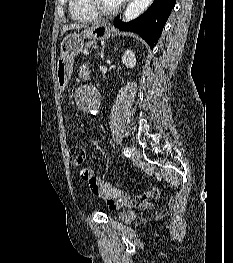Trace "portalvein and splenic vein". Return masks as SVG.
<instances>
[{"label": "portal vein and splenic vein", "mask_w": 233, "mask_h": 263, "mask_svg": "<svg viewBox=\"0 0 233 263\" xmlns=\"http://www.w3.org/2000/svg\"><path fill=\"white\" fill-rule=\"evenodd\" d=\"M84 54H89V52L87 50L84 51Z\"/></svg>", "instance_id": "obj_1"}]
</instances>
